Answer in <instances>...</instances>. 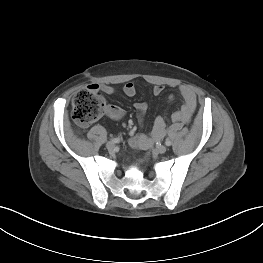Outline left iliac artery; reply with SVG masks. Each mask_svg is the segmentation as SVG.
I'll return each mask as SVG.
<instances>
[{
  "label": "left iliac artery",
  "mask_w": 263,
  "mask_h": 263,
  "mask_svg": "<svg viewBox=\"0 0 263 263\" xmlns=\"http://www.w3.org/2000/svg\"><path fill=\"white\" fill-rule=\"evenodd\" d=\"M165 144H166L167 146H170V145L172 144V142H171L169 139H166Z\"/></svg>",
  "instance_id": "1"
}]
</instances>
